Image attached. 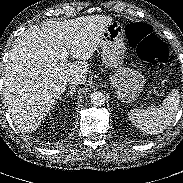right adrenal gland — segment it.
Segmentation results:
<instances>
[{"label": "right adrenal gland", "instance_id": "2a0ac1e0", "mask_svg": "<svg viewBox=\"0 0 183 183\" xmlns=\"http://www.w3.org/2000/svg\"><path fill=\"white\" fill-rule=\"evenodd\" d=\"M75 91H76L75 86H70V87L68 88V92L66 93V96L72 97Z\"/></svg>", "mask_w": 183, "mask_h": 183}]
</instances>
